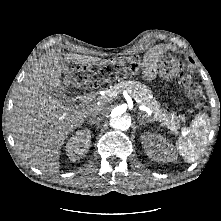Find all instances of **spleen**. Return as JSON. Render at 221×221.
Segmentation results:
<instances>
[{"instance_id": "obj_1", "label": "spleen", "mask_w": 221, "mask_h": 221, "mask_svg": "<svg viewBox=\"0 0 221 221\" xmlns=\"http://www.w3.org/2000/svg\"><path fill=\"white\" fill-rule=\"evenodd\" d=\"M209 131V118L205 113H202L194 118L188 135L178 139L177 149L188 163L194 162L203 153Z\"/></svg>"}]
</instances>
